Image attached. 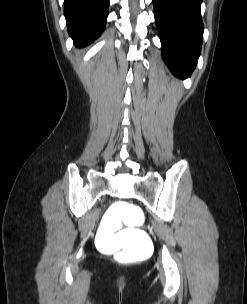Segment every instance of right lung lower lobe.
Returning <instances> with one entry per match:
<instances>
[{"mask_svg": "<svg viewBox=\"0 0 247 304\" xmlns=\"http://www.w3.org/2000/svg\"><path fill=\"white\" fill-rule=\"evenodd\" d=\"M109 0H64L68 32L76 46L93 42L105 29Z\"/></svg>", "mask_w": 247, "mask_h": 304, "instance_id": "98d812e1", "label": "right lung lower lobe"}]
</instances>
